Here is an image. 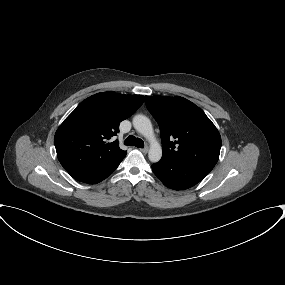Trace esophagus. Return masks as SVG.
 Segmentation results:
<instances>
[{"label":"esophagus","instance_id":"34e87169","mask_svg":"<svg viewBox=\"0 0 285 285\" xmlns=\"http://www.w3.org/2000/svg\"><path fill=\"white\" fill-rule=\"evenodd\" d=\"M141 150V152H143V153H147L148 152V147L146 146V147H144V148H142V149H140Z\"/></svg>","mask_w":285,"mask_h":285}]
</instances>
